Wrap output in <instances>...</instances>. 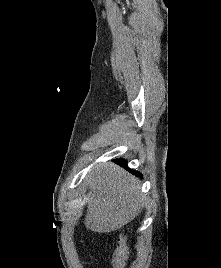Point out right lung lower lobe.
I'll use <instances>...</instances> for the list:
<instances>
[{
  "label": "right lung lower lobe",
  "instance_id": "98d812e1",
  "mask_svg": "<svg viewBox=\"0 0 221 268\" xmlns=\"http://www.w3.org/2000/svg\"><path fill=\"white\" fill-rule=\"evenodd\" d=\"M114 162L117 163V164H119V165H121V166H124L125 168H127L126 161L123 160V159H116V160H114ZM130 171H131L134 175L139 176V177L142 178V175H141L139 172L132 171V170H130Z\"/></svg>",
  "mask_w": 221,
  "mask_h": 268
}]
</instances>
